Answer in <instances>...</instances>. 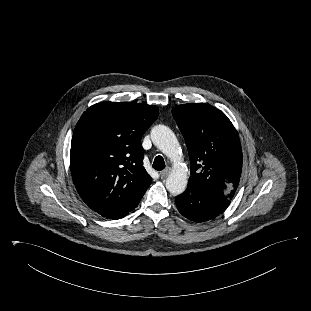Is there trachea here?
Returning a JSON list of instances; mask_svg holds the SVG:
<instances>
[{"label": "trachea", "mask_w": 311, "mask_h": 311, "mask_svg": "<svg viewBox=\"0 0 311 311\" xmlns=\"http://www.w3.org/2000/svg\"><path fill=\"white\" fill-rule=\"evenodd\" d=\"M152 167L157 170V171H161L165 168V162H164V159L162 156H157L155 159H154V162H153V165Z\"/></svg>", "instance_id": "1"}]
</instances>
